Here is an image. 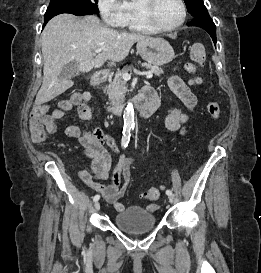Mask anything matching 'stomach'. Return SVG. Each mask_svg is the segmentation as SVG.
I'll return each instance as SVG.
<instances>
[{
  "mask_svg": "<svg viewBox=\"0 0 261 273\" xmlns=\"http://www.w3.org/2000/svg\"><path fill=\"white\" fill-rule=\"evenodd\" d=\"M137 52L148 63L162 66L175 58L172 46L163 38H149L137 42Z\"/></svg>",
  "mask_w": 261,
  "mask_h": 273,
  "instance_id": "1",
  "label": "stomach"
}]
</instances>
